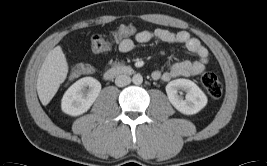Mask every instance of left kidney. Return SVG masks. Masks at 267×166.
I'll use <instances>...</instances> for the list:
<instances>
[{"instance_id":"left-kidney-1","label":"left kidney","mask_w":267,"mask_h":166,"mask_svg":"<svg viewBox=\"0 0 267 166\" xmlns=\"http://www.w3.org/2000/svg\"><path fill=\"white\" fill-rule=\"evenodd\" d=\"M178 90L186 92L185 99L178 94ZM166 93L170 103L181 113L193 115L202 110L207 104L205 93L191 80L176 79L166 86Z\"/></svg>"}]
</instances>
